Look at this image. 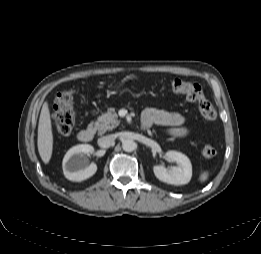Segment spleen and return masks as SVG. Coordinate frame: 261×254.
Returning <instances> with one entry per match:
<instances>
[{
	"instance_id": "obj_1",
	"label": "spleen",
	"mask_w": 261,
	"mask_h": 254,
	"mask_svg": "<svg viewBox=\"0 0 261 254\" xmlns=\"http://www.w3.org/2000/svg\"><path fill=\"white\" fill-rule=\"evenodd\" d=\"M208 177H209V172L204 171L201 173L199 180L200 182H205L208 179Z\"/></svg>"
}]
</instances>
